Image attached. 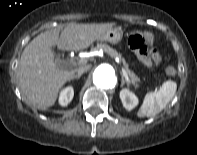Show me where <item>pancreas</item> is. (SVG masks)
<instances>
[{"label": "pancreas", "mask_w": 197, "mask_h": 155, "mask_svg": "<svg viewBox=\"0 0 197 155\" xmlns=\"http://www.w3.org/2000/svg\"><path fill=\"white\" fill-rule=\"evenodd\" d=\"M99 49H103L112 58L118 57L123 63L125 72L128 78L130 79V82L135 86L138 85V83L140 82V78H138L137 75L129 69L128 64L126 63L125 59L121 56V54H119L116 50H114L113 48H111L106 44H98L96 47L93 48V50H99Z\"/></svg>", "instance_id": "cf45deb5"}]
</instances>
